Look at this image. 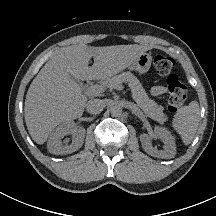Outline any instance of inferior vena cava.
Listing matches in <instances>:
<instances>
[{
    "label": "inferior vena cava",
    "mask_w": 216,
    "mask_h": 216,
    "mask_svg": "<svg viewBox=\"0 0 216 216\" xmlns=\"http://www.w3.org/2000/svg\"><path fill=\"white\" fill-rule=\"evenodd\" d=\"M104 103L100 99H91L86 103V110L88 113L92 115L99 114L103 108H104Z\"/></svg>",
    "instance_id": "602c4592"
}]
</instances>
